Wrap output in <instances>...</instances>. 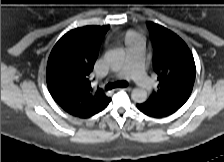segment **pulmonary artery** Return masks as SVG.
Returning a JSON list of instances; mask_svg holds the SVG:
<instances>
[{"mask_svg":"<svg viewBox=\"0 0 224 162\" xmlns=\"http://www.w3.org/2000/svg\"><path fill=\"white\" fill-rule=\"evenodd\" d=\"M113 79L131 78L144 89L153 87V80L146 74L144 67L143 41L140 38L127 44V58L123 68L111 76Z\"/></svg>","mask_w":224,"mask_h":162,"instance_id":"obj_1","label":"pulmonary artery"}]
</instances>
